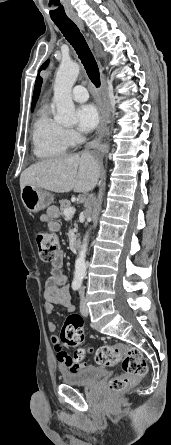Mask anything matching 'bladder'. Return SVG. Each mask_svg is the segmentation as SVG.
Segmentation results:
<instances>
[{"label":"bladder","instance_id":"obj_1","mask_svg":"<svg viewBox=\"0 0 171 445\" xmlns=\"http://www.w3.org/2000/svg\"><path fill=\"white\" fill-rule=\"evenodd\" d=\"M107 375L104 368L85 366L74 371H63L61 379L67 385L89 386Z\"/></svg>","mask_w":171,"mask_h":445}]
</instances>
